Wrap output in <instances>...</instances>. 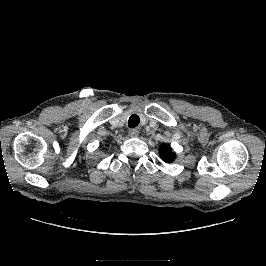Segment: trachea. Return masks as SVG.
I'll return each instance as SVG.
<instances>
[{
    "label": "trachea",
    "mask_w": 266,
    "mask_h": 266,
    "mask_svg": "<svg viewBox=\"0 0 266 266\" xmlns=\"http://www.w3.org/2000/svg\"><path fill=\"white\" fill-rule=\"evenodd\" d=\"M139 122H140L139 116L136 114H133L129 118L128 126H129V128H134V127L138 126Z\"/></svg>",
    "instance_id": "1"
}]
</instances>
